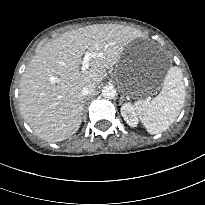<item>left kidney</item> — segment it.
<instances>
[{
  "label": "left kidney",
  "mask_w": 205,
  "mask_h": 205,
  "mask_svg": "<svg viewBox=\"0 0 205 205\" xmlns=\"http://www.w3.org/2000/svg\"><path fill=\"white\" fill-rule=\"evenodd\" d=\"M121 115L129 126H137L138 118L131 103H125L121 106Z\"/></svg>",
  "instance_id": "5707ae66"
}]
</instances>
